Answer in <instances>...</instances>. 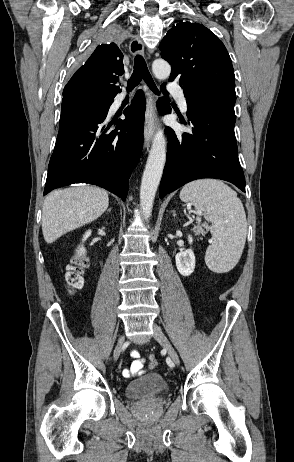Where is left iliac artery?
I'll use <instances>...</instances> for the list:
<instances>
[{
	"label": "left iliac artery",
	"instance_id": "1",
	"mask_svg": "<svg viewBox=\"0 0 294 462\" xmlns=\"http://www.w3.org/2000/svg\"><path fill=\"white\" fill-rule=\"evenodd\" d=\"M165 361H166L167 365H169L170 367H174V364L172 363V360H171L170 357L166 358Z\"/></svg>",
	"mask_w": 294,
	"mask_h": 462
}]
</instances>
